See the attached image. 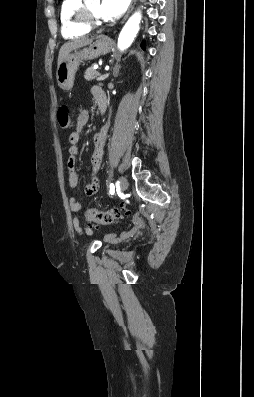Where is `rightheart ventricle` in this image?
<instances>
[{
  "mask_svg": "<svg viewBox=\"0 0 254 397\" xmlns=\"http://www.w3.org/2000/svg\"><path fill=\"white\" fill-rule=\"evenodd\" d=\"M82 0H63L60 7L61 34L66 39H76L89 33L78 18Z\"/></svg>",
  "mask_w": 254,
  "mask_h": 397,
  "instance_id": "obj_1",
  "label": "right heart ventricle"
}]
</instances>
